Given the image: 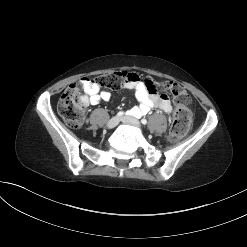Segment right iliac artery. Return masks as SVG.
<instances>
[{"instance_id": "right-iliac-artery-1", "label": "right iliac artery", "mask_w": 247, "mask_h": 247, "mask_svg": "<svg viewBox=\"0 0 247 247\" xmlns=\"http://www.w3.org/2000/svg\"><path fill=\"white\" fill-rule=\"evenodd\" d=\"M126 114H130V112L128 111ZM122 115H124L123 111H120V112L117 113V116H122Z\"/></svg>"}]
</instances>
